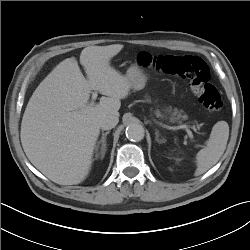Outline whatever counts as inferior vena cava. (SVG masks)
<instances>
[{"instance_id":"602c4592","label":"inferior vena cava","mask_w":250,"mask_h":250,"mask_svg":"<svg viewBox=\"0 0 250 250\" xmlns=\"http://www.w3.org/2000/svg\"><path fill=\"white\" fill-rule=\"evenodd\" d=\"M119 118L114 115H108L100 119L99 126L103 130H110L118 124Z\"/></svg>"}]
</instances>
